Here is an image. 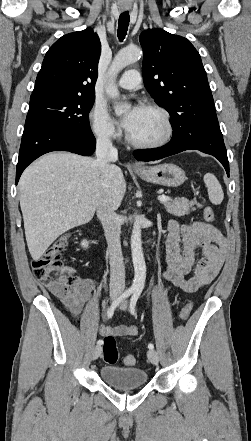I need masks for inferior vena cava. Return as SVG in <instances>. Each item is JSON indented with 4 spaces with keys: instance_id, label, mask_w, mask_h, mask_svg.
Masks as SVG:
<instances>
[{
    "instance_id": "obj_1",
    "label": "inferior vena cava",
    "mask_w": 251,
    "mask_h": 441,
    "mask_svg": "<svg viewBox=\"0 0 251 441\" xmlns=\"http://www.w3.org/2000/svg\"><path fill=\"white\" fill-rule=\"evenodd\" d=\"M96 156L97 165L99 166L103 177V173L110 167V162L118 159V151L113 147L108 135H98ZM115 209L116 208L112 205L109 197L103 195L99 200L96 210L97 217L102 223L108 244L110 261V293L120 294L125 289V266L120 242L121 226Z\"/></svg>"
}]
</instances>
